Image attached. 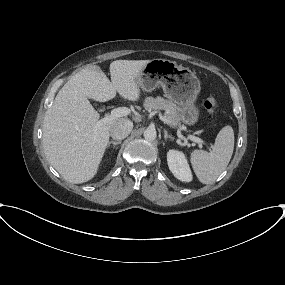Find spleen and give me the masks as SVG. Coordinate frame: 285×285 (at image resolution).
I'll return each instance as SVG.
<instances>
[{
	"label": "spleen",
	"mask_w": 285,
	"mask_h": 285,
	"mask_svg": "<svg viewBox=\"0 0 285 285\" xmlns=\"http://www.w3.org/2000/svg\"><path fill=\"white\" fill-rule=\"evenodd\" d=\"M233 150L234 131L229 125L219 131L211 152L194 150L190 161L199 181L203 184L213 183L226 169Z\"/></svg>",
	"instance_id": "obj_1"
}]
</instances>
